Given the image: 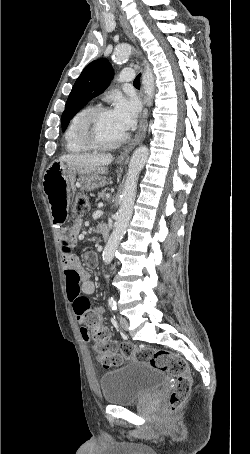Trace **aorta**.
<instances>
[{
  "mask_svg": "<svg viewBox=\"0 0 250 454\" xmlns=\"http://www.w3.org/2000/svg\"><path fill=\"white\" fill-rule=\"evenodd\" d=\"M133 50L134 47L128 43L119 45L113 53L114 61L119 63L127 60ZM144 64L145 69L142 75V84L146 95L145 103L148 106H151L155 92V78L150 65L146 61H144ZM148 156V148L146 146H140L133 152L130 159L127 177L121 194V205L116 214L114 230L111 233L102 254V259L106 265L112 262L114 253L126 233L133 213L139 173L143 169Z\"/></svg>",
  "mask_w": 250,
  "mask_h": 454,
  "instance_id": "obj_1",
  "label": "aorta"
}]
</instances>
